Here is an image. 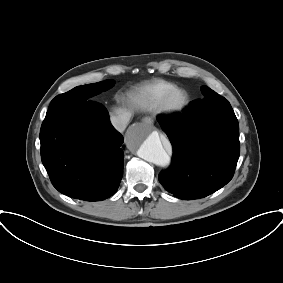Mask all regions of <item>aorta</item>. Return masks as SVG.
<instances>
[{"label": "aorta", "instance_id": "1", "mask_svg": "<svg viewBox=\"0 0 283 283\" xmlns=\"http://www.w3.org/2000/svg\"><path fill=\"white\" fill-rule=\"evenodd\" d=\"M126 142L128 147L144 160L160 167L169 166L170 156L163 147L159 133L150 125H134L127 135Z\"/></svg>", "mask_w": 283, "mask_h": 283}]
</instances>
